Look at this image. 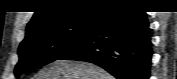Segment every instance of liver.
Wrapping results in <instances>:
<instances>
[{"label":"liver","mask_w":177,"mask_h":79,"mask_svg":"<svg viewBox=\"0 0 177 79\" xmlns=\"http://www.w3.org/2000/svg\"><path fill=\"white\" fill-rule=\"evenodd\" d=\"M34 79H113L105 70L92 63L56 60L42 68Z\"/></svg>","instance_id":"obj_1"}]
</instances>
